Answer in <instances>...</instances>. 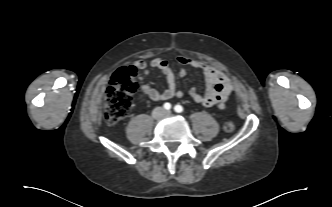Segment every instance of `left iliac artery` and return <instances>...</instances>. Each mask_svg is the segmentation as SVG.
Masks as SVG:
<instances>
[{"instance_id":"44dca946","label":"left iliac artery","mask_w":332,"mask_h":207,"mask_svg":"<svg viewBox=\"0 0 332 207\" xmlns=\"http://www.w3.org/2000/svg\"><path fill=\"white\" fill-rule=\"evenodd\" d=\"M174 111L177 113L183 112V107L181 105H175Z\"/></svg>"}]
</instances>
